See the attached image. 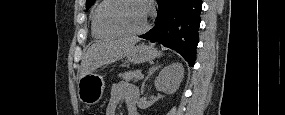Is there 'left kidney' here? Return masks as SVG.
Returning a JSON list of instances; mask_svg holds the SVG:
<instances>
[{"mask_svg": "<svg viewBox=\"0 0 285 115\" xmlns=\"http://www.w3.org/2000/svg\"><path fill=\"white\" fill-rule=\"evenodd\" d=\"M184 76V68L180 62L172 63L161 70L155 80L158 91L173 94L179 88Z\"/></svg>", "mask_w": 285, "mask_h": 115, "instance_id": "obj_1", "label": "left kidney"}]
</instances>
